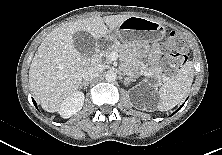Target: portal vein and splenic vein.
I'll use <instances>...</instances> for the list:
<instances>
[{
  "label": "portal vein and splenic vein",
  "mask_w": 222,
  "mask_h": 155,
  "mask_svg": "<svg viewBox=\"0 0 222 155\" xmlns=\"http://www.w3.org/2000/svg\"><path fill=\"white\" fill-rule=\"evenodd\" d=\"M118 57H119L118 52L113 51V52L110 53V55H109V57H108V60H109V61H115V60L118 59ZM142 74H143V75H146V76H151V75H152L151 72H147V71L142 72Z\"/></svg>",
  "instance_id": "portal-vein-and-splenic-vein-1"
}]
</instances>
